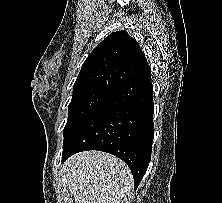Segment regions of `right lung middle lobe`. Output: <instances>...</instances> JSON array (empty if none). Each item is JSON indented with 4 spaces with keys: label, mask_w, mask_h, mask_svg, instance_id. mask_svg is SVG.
Returning <instances> with one entry per match:
<instances>
[{
    "label": "right lung middle lobe",
    "mask_w": 222,
    "mask_h": 203,
    "mask_svg": "<svg viewBox=\"0 0 222 203\" xmlns=\"http://www.w3.org/2000/svg\"><path fill=\"white\" fill-rule=\"evenodd\" d=\"M113 92L89 88L73 91V96L68 107V120L63 130L65 136L85 116L106 101Z\"/></svg>",
    "instance_id": "1"
}]
</instances>
